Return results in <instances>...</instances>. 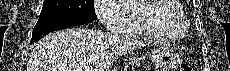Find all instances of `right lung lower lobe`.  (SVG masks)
Wrapping results in <instances>:
<instances>
[{"label": "right lung lower lobe", "instance_id": "right-lung-lower-lobe-1", "mask_svg": "<svg viewBox=\"0 0 230 71\" xmlns=\"http://www.w3.org/2000/svg\"><path fill=\"white\" fill-rule=\"evenodd\" d=\"M90 22H92V18L90 17H64L44 21L39 20L33 29L30 44L37 42L50 32L65 29L70 26L87 24Z\"/></svg>", "mask_w": 230, "mask_h": 71}]
</instances>
